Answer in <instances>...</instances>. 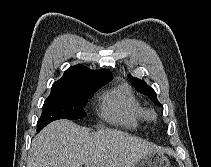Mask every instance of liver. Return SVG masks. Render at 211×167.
<instances>
[{
    "instance_id": "6515ba94",
    "label": "liver",
    "mask_w": 211,
    "mask_h": 167,
    "mask_svg": "<svg viewBox=\"0 0 211 167\" xmlns=\"http://www.w3.org/2000/svg\"><path fill=\"white\" fill-rule=\"evenodd\" d=\"M156 150L152 143L119 130L89 132L58 120L33 139L27 167H132Z\"/></svg>"
}]
</instances>
